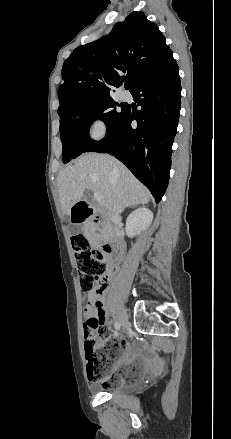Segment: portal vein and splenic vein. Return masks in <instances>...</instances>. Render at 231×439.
Instances as JSON below:
<instances>
[{
  "instance_id": "18ae733b",
  "label": "portal vein and splenic vein",
  "mask_w": 231,
  "mask_h": 439,
  "mask_svg": "<svg viewBox=\"0 0 231 439\" xmlns=\"http://www.w3.org/2000/svg\"><path fill=\"white\" fill-rule=\"evenodd\" d=\"M94 199L96 200V201H101L102 199H103V196H102V194H100V193H94Z\"/></svg>"
}]
</instances>
